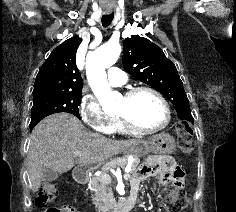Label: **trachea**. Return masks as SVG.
Masks as SVG:
<instances>
[{
    "label": "trachea",
    "mask_w": 236,
    "mask_h": 212,
    "mask_svg": "<svg viewBox=\"0 0 236 212\" xmlns=\"http://www.w3.org/2000/svg\"><path fill=\"white\" fill-rule=\"evenodd\" d=\"M113 18H114V13L103 15L102 20H101L103 27L109 26L111 24Z\"/></svg>",
    "instance_id": "1"
}]
</instances>
